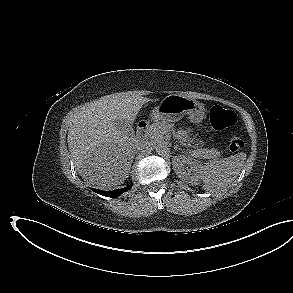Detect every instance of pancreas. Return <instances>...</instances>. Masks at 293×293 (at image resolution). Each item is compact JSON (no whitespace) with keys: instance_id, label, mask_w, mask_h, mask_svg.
Segmentation results:
<instances>
[{"instance_id":"obj_1","label":"pancreas","mask_w":293,"mask_h":293,"mask_svg":"<svg viewBox=\"0 0 293 293\" xmlns=\"http://www.w3.org/2000/svg\"><path fill=\"white\" fill-rule=\"evenodd\" d=\"M169 128L167 122H157L150 125L147 132L145 133L146 139L150 141H158L164 137L166 130ZM190 153L199 158L204 159H216L221 156V153L215 148H200L190 151Z\"/></svg>"}]
</instances>
